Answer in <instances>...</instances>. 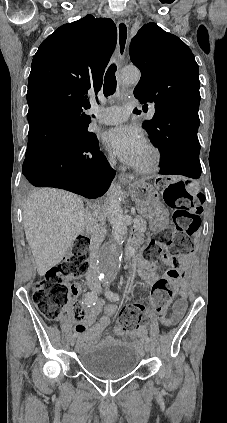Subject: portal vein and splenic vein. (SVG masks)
<instances>
[{"label": "portal vein and splenic vein", "instance_id": "1", "mask_svg": "<svg viewBox=\"0 0 227 423\" xmlns=\"http://www.w3.org/2000/svg\"><path fill=\"white\" fill-rule=\"evenodd\" d=\"M133 221H134V223H138L139 219H137V217H136V219H133Z\"/></svg>", "mask_w": 227, "mask_h": 423}]
</instances>
